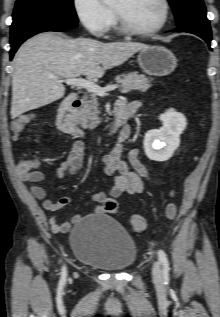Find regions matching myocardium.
<instances>
[{
  "instance_id": "obj_1",
  "label": "myocardium",
  "mask_w": 220,
  "mask_h": 317,
  "mask_svg": "<svg viewBox=\"0 0 220 317\" xmlns=\"http://www.w3.org/2000/svg\"><path fill=\"white\" fill-rule=\"evenodd\" d=\"M162 6H163V17L161 21L153 28L146 29V30H138L133 27H131L124 17L115 9L112 8V12L116 21L117 28L120 32H122L125 35L131 36V37H145L150 36L155 33H158L161 31L166 24L169 21L170 13H171V6L169 3V0H160Z\"/></svg>"
}]
</instances>
